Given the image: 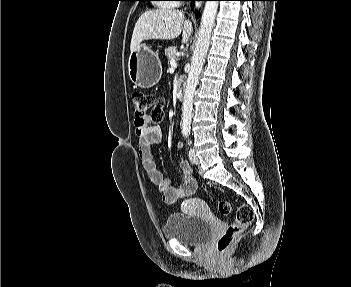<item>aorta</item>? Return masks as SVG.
Segmentation results:
<instances>
[{
    "mask_svg": "<svg viewBox=\"0 0 351 287\" xmlns=\"http://www.w3.org/2000/svg\"><path fill=\"white\" fill-rule=\"evenodd\" d=\"M217 10L218 1H206L184 94L182 120L183 128L187 130L192 118L193 96L209 49Z\"/></svg>",
    "mask_w": 351,
    "mask_h": 287,
    "instance_id": "obj_1",
    "label": "aorta"
}]
</instances>
